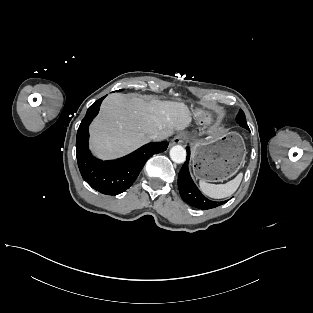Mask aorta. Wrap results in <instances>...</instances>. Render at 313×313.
Instances as JSON below:
<instances>
[{"label":"aorta","mask_w":313,"mask_h":313,"mask_svg":"<svg viewBox=\"0 0 313 313\" xmlns=\"http://www.w3.org/2000/svg\"><path fill=\"white\" fill-rule=\"evenodd\" d=\"M170 158L175 163H183L186 160V150L181 145H175L170 149Z\"/></svg>","instance_id":"762f6f07"}]
</instances>
